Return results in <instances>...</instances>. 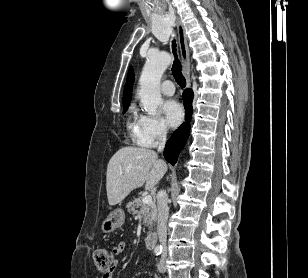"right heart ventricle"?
Instances as JSON below:
<instances>
[{
  "mask_svg": "<svg viewBox=\"0 0 308 278\" xmlns=\"http://www.w3.org/2000/svg\"><path fill=\"white\" fill-rule=\"evenodd\" d=\"M140 116L138 115L137 111L132 108L128 117L127 127L130 130L132 137L135 141H137V136L139 132V122Z\"/></svg>",
  "mask_w": 308,
  "mask_h": 278,
  "instance_id": "e07e8e85",
  "label": "right heart ventricle"
}]
</instances>
